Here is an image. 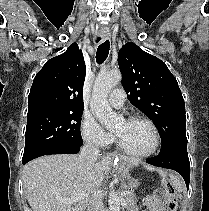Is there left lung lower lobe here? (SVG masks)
<instances>
[{
	"label": "left lung lower lobe",
	"instance_id": "0a47b994",
	"mask_svg": "<svg viewBox=\"0 0 209 211\" xmlns=\"http://www.w3.org/2000/svg\"><path fill=\"white\" fill-rule=\"evenodd\" d=\"M146 163L177 171L185 180L187 189L190 181V163L187 143L179 144L165 153L146 160Z\"/></svg>",
	"mask_w": 209,
	"mask_h": 211
}]
</instances>
